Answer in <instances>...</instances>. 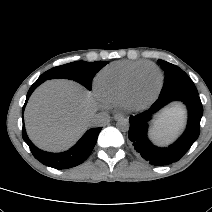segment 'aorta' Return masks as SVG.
I'll return each instance as SVG.
<instances>
[{
    "mask_svg": "<svg viewBox=\"0 0 212 212\" xmlns=\"http://www.w3.org/2000/svg\"><path fill=\"white\" fill-rule=\"evenodd\" d=\"M117 128L122 132H127L130 127L129 120L126 118L119 119L116 124Z\"/></svg>",
    "mask_w": 212,
    "mask_h": 212,
    "instance_id": "obj_1",
    "label": "aorta"
}]
</instances>
